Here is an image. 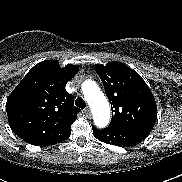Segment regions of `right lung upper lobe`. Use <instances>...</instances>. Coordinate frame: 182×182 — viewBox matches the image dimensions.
Wrapping results in <instances>:
<instances>
[{"label": "right lung upper lobe", "instance_id": "right-lung-upper-lobe-1", "mask_svg": "<svg viewBox=\"0 0 182 182\" xmlns=\"http://www.w3.org/2000/svg\"><path fill=\"white\" fill-rule=\"evenodd\" d=\"M77 72L76 65L61 68L56 60H45L25 75L6 103L10 127L19 138L46 146L70 136L80 109L65 85Z\"/></svg>", "mask_w": 182, "mask_h": 182}]
</instances>
